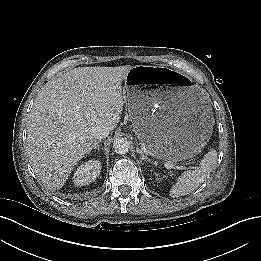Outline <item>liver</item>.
Returning a JSON list of instances; mask_svg holds the SVG:
<instances>
[{
  "label": "liver",
  "mask_w": 261,
  "mask_h": 261,
  "mask_svg": "<svg viewBox=\"0 0 261 261\" xmlns=\"http://www.w3.org/2000/svg\"><path fill=\"white\" fill-rule=\"evenodd\" d=\"M132 67L74 68L38 93L27 124V151L49 189H60L89 153L94 127L116 128L124 105L122 81Z\"/></svg>",
  "instance_id": "1"
}]
</instances>
